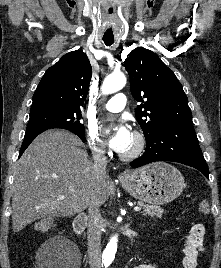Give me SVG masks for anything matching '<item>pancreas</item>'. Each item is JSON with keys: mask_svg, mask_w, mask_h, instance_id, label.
<instances>
[{"mask_svg": "<svg viewBox=\"0 0 221 268\" xmlns=\"http://www.w3.org/2000/svg\"><path fill=\"white\" fill-rule=\"evenodd\" d=\"M138 205L143 207V215L144 216H151V217H162L164 210L161 207L154 206V205H146L142 202H138Z\"/></svg>", "mask_w": 221, "mask_h": 268, "instance_id": "1", "label": "pancreas"}]
</instances>
